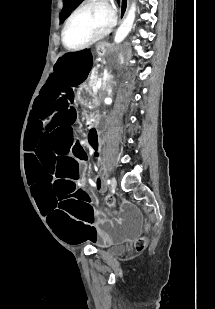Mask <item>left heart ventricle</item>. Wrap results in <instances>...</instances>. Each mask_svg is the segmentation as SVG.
I'll list each match as a JSON object with an SVG mask.
<instances>
[{"instance_id": "left-heart-ventricle-1", "label": "left heart ventricle", "mask_w": 215, "mask_h": 309, "mask_svg": "<svg viewBox=\"0 0 215 309\" xmlns=\"http://www.w3.org/2000/svg\"><path fill=\"white\" fill-rule=\"evenodd\" d=\"M106 25L104 12L90 9L80 13L70 24L66 33V42L69 46H78L92 37L94 29H102Z\"/></svg>"}]
</instances>
